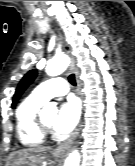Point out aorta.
<instances>
[{
    "label": "aorta",
    "instance_id": "762f6f07",
    "mask_svg": "<svg viewBox=\"0 0 135 166\" xmlns=\"http://www.w3.org/2000/svg\"><path fill=\"white\" fill-rule=\"evenodd\" d=\"M68 65L69 58L66 55H58L47 63L45 71L49 76H58L67 69ZM43 111L56 112V104H46L43 108ZM64 166H80V154L77 150H74L69 154L64 162Z\"/></svg>",
    "mask_w": 135,
    "mask_h": 166
}]
</instances>
